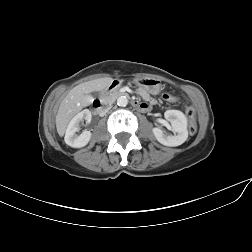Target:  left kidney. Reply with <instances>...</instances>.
I'll list each match as a JSON object with an SVG mask.
<instances>
[{"label":"left kidney","mask_w":252,"mask_h":252,"mask_svg":"<svg viewBox=\"0 0 252 252\" xmlns=\"http://www.w3.org/2000/svg\"><path fill=\"white\" fill-rule=\"evenodd\" d=\"M164 117L171 123V130L177 135H168L162 129L155 127L152 131L157 141L171 147L183 144L188 138L186 116L179 110H167Z\"/></svg>","instance_id":"5707ae66"}]
</instances>
